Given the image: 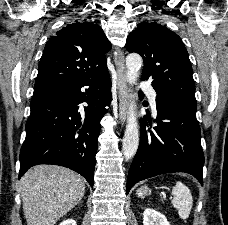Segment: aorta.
Listing matches in <instances>:
<instances>
[{
    "label": "aorta",
    "mask_w": 228,
    "mask_h": 225,
    "mask_svg": "<svg viewBox=\"0 0 228 225\" xmlns=\"http://www.w3.org/2000/svg\"><path fill=\"white\" fill-rule=\"evenodd\" d=\"M142 64L143 60L140 54H135V52H132V54H128L126 58L127 82H130V84L136 82ZM131 98H134V96H131ZM135 108L136 106L134 104V100H130L127 125L122 143L123 155L125 159H127V161H129V159H132V157L136 155L139 145V125L137 123Z\"/></svg>",
    "instance_id": "obj_1"
}]
</instances>
